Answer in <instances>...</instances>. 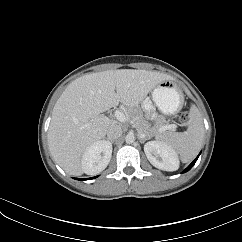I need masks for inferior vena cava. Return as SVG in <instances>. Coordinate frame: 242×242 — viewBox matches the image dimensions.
I'll return each instance as SVG.
<instances>
[{"instance_id": "1", "label": "inferior vena cava", "mask_w": 242, "mask_h": 242, "mask_svg": "<svg viewBox=\"0 0 242 242\" xmlns=\"http://www.w3.org/2000/svg\"><path fill=\"white\" fill-rule=\"evenodd\" d=\"M122 133H123V131H122L121 126H119L117 124L110 125L106 132L107 137L110 140L119 138L122 135Z\"/></svg>"}]
</instances>
